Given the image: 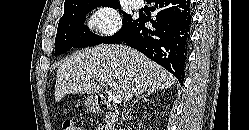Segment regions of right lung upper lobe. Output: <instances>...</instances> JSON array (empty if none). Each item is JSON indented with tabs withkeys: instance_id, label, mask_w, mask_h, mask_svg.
<instances>
[{
	"instance_id": "obj_1",
	"label": "right lung upper lobe",
	"mask_w": 249,
	"mask_h": 130,
	"mask_svg": "<svg viewBox=\"0 0 249 130\" xmlns=\"http://www.w3.org/2000/svg\"><path fill=\"white\" fill-rule=\"evenodd\" d=\"M117 1L118 0H66L64 4V9H81L96 3L117 2Z\"/></svg>"
}]
</instances>
